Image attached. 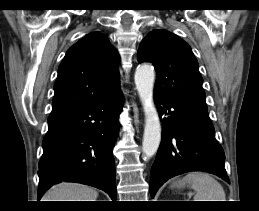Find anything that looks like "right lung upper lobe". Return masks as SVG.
<instances>
[{"instance_id":"right-lung-upper-lobe-1","label":"right lung upper lobe","mask_w":259,"mask_h":211,"mask_svg":"<svg viewBox=\"0 0 259 211\" xmlns=\"http://www.w3.org/2000/svg\"><path fill=\"white\" fill-rule=\"evenodd\" d=\"M54 89L52 112L84 106L120 91L117 53L108 37L91 32L70 47Z\"/></svg>"}]
</instances>
